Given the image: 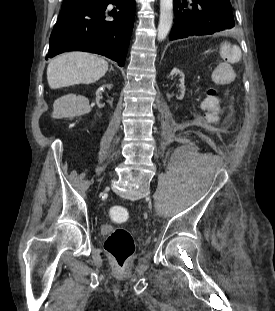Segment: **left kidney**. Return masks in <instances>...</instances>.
Masks as SVG:
<instances>
[{"label":"left kidney","instance_id":"obj_1","mask_svg":"<svg viewBox=\"0 0 275 311\" xmlns=\"http://www.w3.org/2000/svg\"><path fill=\"white\" fill-rule=\"evenodd\" d=\"M177 74L180 75V80L178 79L177 80L178 82H173L172 83V88L173 89H180V94L177 95L176 97H177L178 100H182L184 98V94H185V86H184V78H185V76H184V74L180 70H178V69H173L171 71V74L169 75V78L171 80H176L178 78Z\"/></svg>","mask_w":275,"mask_h":311}]
</instances>
